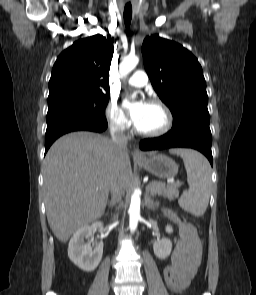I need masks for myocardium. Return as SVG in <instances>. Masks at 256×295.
<instances>
[{"instance_id": "1", "label": "myocardium", "mask_w": 256, "mask_h": 295, "mask_svg": "<svg viewBox=\"0 0 256 295\" xmlns=\"http://www.w3.org/2000/svg\"><path fill=\"white\" fill-rule=\"evenodd\" d=\"M148 104L156 106L162 111L164 115L163 125L160 128L156 130H151V131H143L135 127L136 133L145 137H158V136H162L166 134L171 129L173 124V117H172L171 111L161 100L156 98L150 99Z\"/></svg>"}]
</instances>
